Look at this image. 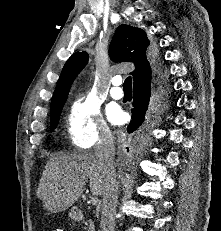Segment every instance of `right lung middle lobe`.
Instances as JSON below:
<instances>
[{
  "instance_id": "right-lung-middle-lobe-1",
  "label": "right lung middle lobe",
  "mask_w": 221,
  "mask_h": 231,
  "mask_svg": "<svg viewBox=\"0 0 221 231\" xmlns=\"http://www.w3.org/2000/svg\"><path fill=\"white\" fill-rule=\"evenodd\" d=\"M65 101L61 102L60 104H58L55 108H53L50 112V121H51V131H53L56 126L57 123L59 121V117H60V113L61 110L63 108ZM162 107V103L160 105V103L156 102L149 111H147L146 113V120L144 121V123L142 124L141 128H140V133H142L143 138H147V132L146 129H148L150 123H151V112L157 110L158 108Z\"/></svg>"
}]
</instances>
